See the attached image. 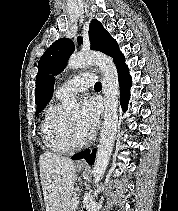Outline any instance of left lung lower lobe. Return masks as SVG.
Instances as JSON below:
<instances>
[{
    "instance_id": "0a47b994",
    "label": "left lung lower lobe",
    "mask_w": 178,
    "mask_h": 211,
    "mask_svg": "<svg viewBox=\"0 0 178 211\" xmlns=\"http://www.w3.org/2000/svg\"><path fill=\"white\" fill-rule=\"evenodd\" d=\"M117 70L119 75V82H120V102L124 111L127 108V103L130 99V87L132 85L131 77L129 75V69L125 64V58L122 56L117 62ZM96 155V149L92 151V155H90V151H83L80 152L72 157L73 160H78L84 158L87 162L92 165L94 163Z\"/></svg>"
}]
</instances>
